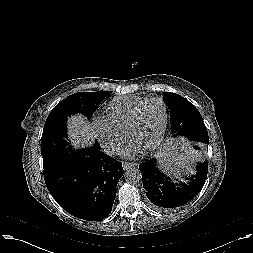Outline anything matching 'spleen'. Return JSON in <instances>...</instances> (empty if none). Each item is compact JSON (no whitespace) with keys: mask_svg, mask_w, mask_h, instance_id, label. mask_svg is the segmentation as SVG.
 Here are the masks:
<instances>
[{"mask_svg":"<svg viewBox=\"0 0 253 253\" xmlns=\"http://www.w3.org/2000/svg\"><path fill=\"white\" fill-rule=\"evenodd\" d=\"M201 158L196 149L176 145L167 150L159 164L162 179L172 186H181L197 175Z\"/></svg>","mask_w":253,"mask_h":253,"instance_id":"spleen-1","label":"spleen"}]
</instances>
